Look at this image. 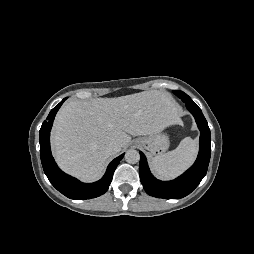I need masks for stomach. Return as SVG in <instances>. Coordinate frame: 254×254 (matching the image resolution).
I'll use <instances>...</instances> for the list:
<instances>
[{
  "instance_id": "1",
  "label": "stomach",
  "mask_w": 254,
  "mask_h": 254,
  "mask_svg": "<svg viewBox=\"0 0 254 254\" xmlns=\"http://www.w3.org/2000/svg\"><path fill=\"white\" fill-rule=\"evenodd\" d=\"M136 145L148 151L150 156L162 154L169 148V138L165 133H158L136 139Z\"/></svg>"
}]
</instances>
